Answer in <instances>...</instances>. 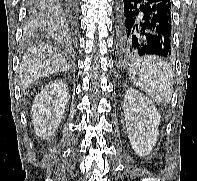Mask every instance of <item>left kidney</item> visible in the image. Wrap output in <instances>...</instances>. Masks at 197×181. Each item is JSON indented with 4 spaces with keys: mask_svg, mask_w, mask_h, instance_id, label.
Returning a JSON list of instances; mask_svg holds the SVG:
<instances>
[{
    "mask_svg": "<svg viewBox=\"0 0 197 181\" xmlns=\"http://www.w3.org/2000/svg\"><path fill=\"white\" fill-rule=\"evenodd\" d=\"M128 138L139 156L150 154L158 138L160 115L154 103L138 90L129 88L124 97Z\"/></svg>",
    "mask_w": 197,
    "mask_h": 181,
    "instance_id": "obj_1",
    "label": "left kidney"
}]
</instances>
